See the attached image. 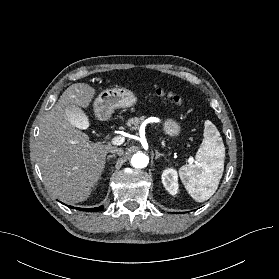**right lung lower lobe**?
Segmentation results:
<instances>
[{
	"mask_svg": "<svg viewBox=\"0 0 279 279\" xmlns=\"http://www.w3.org/2000/svg\"><path fill=\"white\" fill-rule=\"evenodd\" d=\"M70 207V206H69ZM74 208V207H71ZM77 210H83V211H87V212H93V211H100L103 209V206L100 207H96V208H76Z\"/></svg>",
	"mask_w": 279,
	"mask_h": 279,
	"instance_id": "obj_1",
	"label": "right lung lower lobe"
}]
</instances>
